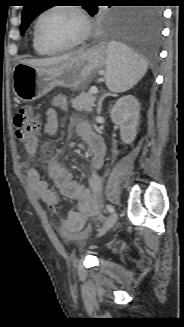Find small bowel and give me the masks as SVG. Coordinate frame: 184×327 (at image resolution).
I'll return each mask as SVG.
<instances>
[{
    "label": "small bowel",
    "instance_id": "small-bowel-1",
    "mask_svg": "<svg viewBox=\"0 0 184 327\" xmlns=\"http://www.w3.org/2000/svg\"><path fill=\"white\" fill-rule=\"evenodd\" d=\"M52 107L45 110V124L40 132L31 140L24 143L26 152L35 156L39 150V137L51 136L57 132L58 116L56 109L66 110L68 108L67 98L64 95H55L51 99ZM77 133L87 143L92 152L93 173L89 177L88 187L75 181L71 174L55 161L48 164L49 177L58 188L61 195L76 202L74 208L69 212L64 221V227L68 232L80 231L87 219L93 212L98 211V196L102 185V179L97 173L103 165L106 152L105 144L100 135L95 133L89 124L79 123ZM28 184L35 195L48 206L55 203L58 207L59 199L49 183L44 179L37 169H31L27 176Z\"/></svg>",
    "mask_w": 184,
    "mask_h": 327
}]
</instances>
